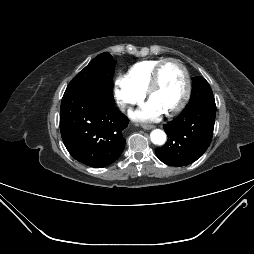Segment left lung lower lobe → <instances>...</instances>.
Here are the masks:
<instances>
[{"label": "left lung lower lobe", "mask_w": 254, "mask_h": 254, "mask_svg": "<svg viewBox=\"0 0 254 254\" xmlns=\"http://www.w3.org/2000/svg\"><path fill=\"white\" fill-rule=\"evenodd\" d=\"M215 103L189 102L181 114L164 125L166 144L156 148L157 157L170 166H185L200 158L213 135Z\"/></svg>", "instance_id": "0a47b994"}]
</instances>
